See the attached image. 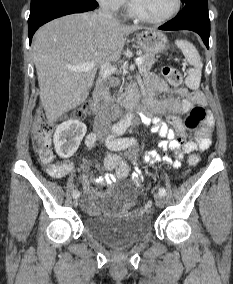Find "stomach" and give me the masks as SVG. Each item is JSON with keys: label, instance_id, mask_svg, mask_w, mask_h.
Instances as JSON below:
<instances>
[{"label": "stomach", "instance_id": "0dacf381", "mask_svg": "<svg viewBox=\"0 0 233 284\" xmlns=\"http://www.w3.org/2000/svg\"><path fill=\"white\" fill-rule=\"evenodd\" d=\"M138 45L148 54H158L167 48V37L153 29H146L136 35Z\"/></svg>", "mask_w": 233, "mask_h": 284}]
</instances>
